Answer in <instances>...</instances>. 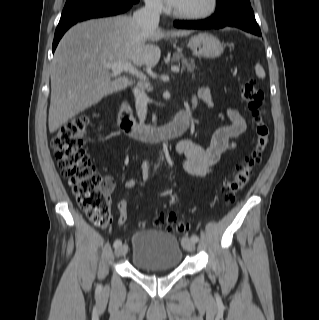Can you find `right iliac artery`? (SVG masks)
<instances>
[{"label":"right iliac artery","instance_id":"82829eb1","mask_svg":"<svg viewBox=\"0 0 319 320\" xmlns=\"http://www.w3.org/2000/svg\"><path fill=\"white\" fill-rule=\"evenodd\" d=\"M120 245H122V241L120 239H116L113 243L114 248H117Z\"/></svg>","mask_w":319,"mask_h":320}]
</instances>
